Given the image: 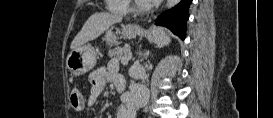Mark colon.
I'll use <instances>...</instances> for the list:
<instances>
[{"mask_svg":"<svg viewBox=\"0 0 273 118\" xmlns=\"http://www.w3.org/2000/svg\"><path fill=\"white\" fill-rule=\"evenodd\" d=\"M71 107L75 111H81L84 107V96L79 88H73L70 93Z\"/></svg>","mask_w":273,"mask_h":118,"instance_id":"1","label":"colon"}]
</instances>
